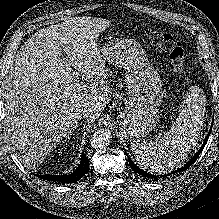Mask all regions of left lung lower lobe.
<instances>
[{"label":"left lung lower lobe","instance_id":"obj_1","mask_svg":"<svg viewBox=\"0 0 219 219\" xmlns=\"http://www.w3.org/2000/svg\"><path fill=\"white\" fill-rule=\"evenodd\" d=\"M213 122V121H212ZM212 126H213V123L211 125V128L209 130V133L208 135L206 136L205 140H204V143L202 144L201 148L198 150V152L193 156V158L186 164L184 165L182 168L178 169V170H175L171 173H168L166 175H152V174H149L143 170H141L139 167H137L133 161L130 159V157L128 156V160H129V164H130V167L134 170L135 173H138L139 175L145 177V178H150V179H158V178H161V177H167L171 174H174V173H180L186 169H188L197 159V157L199 156V154L201 153L202 149L205 147L207 141H208V138L210 136V133H211V130H212Z\"/></svg>","mask_w":219,"mask_h":219}]
</instances>
